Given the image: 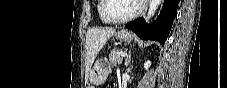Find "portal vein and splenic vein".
<instances>
[{
    "mask_svg": "<svg viewBox=\"0 0 227 88\" xmlns=\"http://www.w3.org/2000/svg\"><path fill=\"white\" fill-rule=\"evenodd\" d=\"M121 56H122V57H126V56H127V53H126V52H122V53H121Z\"/></svg>",
    "mask_w": 227,
    "mask_h": 88,
    "instance_id": "obj_1",
    "label": "portal vein and splenic vein"
}]
</instances>
